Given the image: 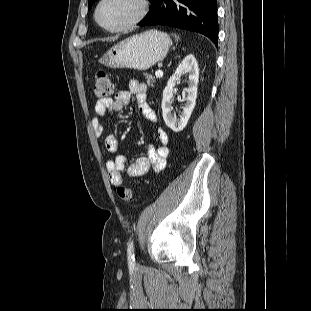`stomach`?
I'll return each mask as SVG.
<instances>
[{
    "instance_id": "1",
    "label": "stomach",
    "mask_w": 311,
    "mask_h": 311,
    "mask_svg": "<svg viewBox=\"0 0 311 311\" xmlns=\"http://www.w3.org/2000/svg\"><path fill=\"white\" fill-rule=\"evenodd\" d=\"M170 45L166 33L151 29L114 45L104 54L101 63L110 68L147 70L166 57Z\"/></svg>"
}]
</instances>
